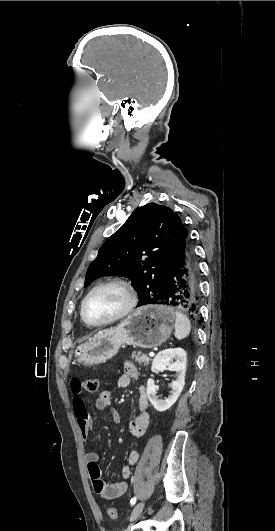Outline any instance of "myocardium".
<instances>
[{
    "label": "myocardium",
    "instance_id": "myocardium-1",
    "mask_svg": "<svg viewBox=\"0 0 275 531\" xmlns=\"http://www.w3.org/2000/svg\"><path fill=\"white\" fill-rule=\"evenodd\" d=\"M117 287L119 289H121L124 294H125V297H126V305L124 307V309L122 311H120L119 313H117L116 315L106 319V320H103V321H100V322H89L85 316H84V304L86 302V300L92 295L94 294L95 292H97L98 290L100 289H103V288H106V287ZM135 303H136V294H135V291L133 289V287L131 286V284L129 282H127L126 280H123L121 278H110V279H107L103 282H100L98 283L97 285H95L84 297L83 299L81 300V303H80V317L82 319V321L89 325V326H92V327H101V326H106V325H109V324H112L114 322H117L123 318H125L134 308L135 306Z\"/></svg>",
    "mask_w": 275,
    "mask_h": 531
}]
</instances>
